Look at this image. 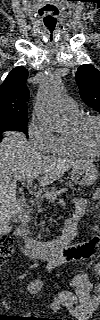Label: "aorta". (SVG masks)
I'll use <instances>...</instances> for the list:
<instances>
[{
  "label": "aorta",
  "instance_id": "762f6f07",
  "mask_svg": "<svg viewBox=\"0 0 100 320\" xmlns=\"http://www.w3.org/2000/svg\"><path fill=\"white\" fill-rule=\"evenodd\" d=\"M61 80L56 75H49L40 85L36 113L39 120L51 130L57 131L66 127L67 120L58 108V100L62 95Z\"/></svg>",
  "mask_w": 100,
  "mask_h": 320
}]
</instances>
